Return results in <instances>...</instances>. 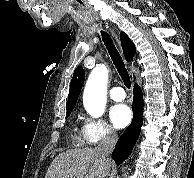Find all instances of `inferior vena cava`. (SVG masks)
<instances>
[{
  "label": "inferior vena cava",
  "instance_id": "inferior-vena-cava-1",
  "mask_svg": "<svg viewBox=\"0 0 194 178\" xmlns=\"http://www.w3.org/2000/svg\"><path fill=\"white\" fill-rule=\"evenodd\" d=\"M118 140V136L113 131H108L106 135L102 138L101 142L97 146L96 150L102 157V159L108 161L109 154L112 153L116 142Z\"/></svg>",
  "mask_w": 194,
  "mask_h": 178
}]
</instances>
